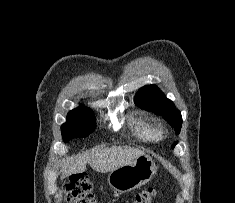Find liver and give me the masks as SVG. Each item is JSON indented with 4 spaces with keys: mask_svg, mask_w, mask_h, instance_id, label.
Returning <instances> with one entry per match:
<instances>
[{
    "mask_svg": "<svg viewBox=\"0 0 235 203\" xmlns=\"http://www.w3.org/2000/svg\"><path fill=\"white\" fill-rule=\"evenodd\" d=\"M141 155H144L143 151L130 146L95 149L87 152L84 156L80 155L74 160L67 161L62 177L84 172L87 163L97 172H111L123 165L131 163Z\"/></svg>",
    "mask_w": 235,
    "mask_h": 203,
    "instance_id": "1",
    "label": "liver"
}]
</instances>
